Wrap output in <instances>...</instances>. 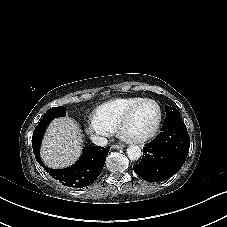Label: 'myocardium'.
I'll list each match as a JSON object with an SVG mask.
<instances>
[{
    "label": "myocardium",
    "mask_w": 227,
    "mask_h": 227,
    "mask_svg": "<svg viewBox=\"0 0 227 227\" xmlns=\"http://www.w3.org/2000/svg\"><path fill=\"white\" fill-rule=\"evenodd\" d=\"M144 103H151V104H154L157 109H158V118H157V122L154 126V128L146 135H132V134H127L125 133V126L127 124V122L129 121L130 117L132 116V114L137 110V108L139 106H141L142 104ZM161 120H162V111H161V107L160 105L155 101V100H152V99H142L140 100L139 102H137L136 104H134L125 114L124 116L122 117L119 125H118V128H117V133L118 135L126 140V141H129V142H136V143H140V142H144L148 139H150L151 137H153L160 124H161Z\"/></svg>",
    "instance_id": "myocardium-1"
}]
</instances>
